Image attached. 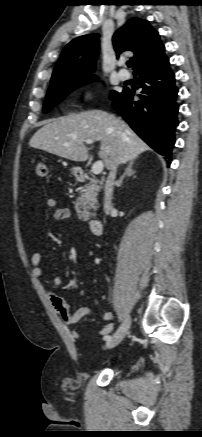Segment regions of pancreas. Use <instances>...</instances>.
I'll list each match as a JSON object with an SVG mask.
<instances>
[{
    "mask_svg": "<svg viewBox=\"0 0 202 437\" xmlns=\"http://www.w3.org/2000/svg\"><path fill=\"white\" fill-rule=\"evenodd\" d=\"M99 186L94 180L86 184L80 191V195L75 202V210L79 219L87 221L90 216V209H95L97 204V196Z\"/></svg>",
    "mask_w": 202,
    "mask_h": 437,
    "instance_id": "pancreas-1",
    "label": "pancreas"
}]
</instances>
